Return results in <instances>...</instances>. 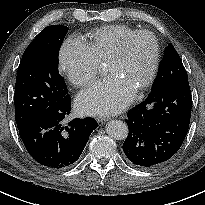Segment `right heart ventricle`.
<instances>
[{
  "label": "right heart ventricle",
  "mask_w": 205,
  "mask_h": 205,
  "mask_svg": "<svg viewBox=\"0 0 205 205\" xmlns=\"http://www.w3.org/2000/svg\"><path fill=\"white\" fill-rule=\"evenodd\" d=\"M135 31L126 25L104 26L89 35L87 45L100 63L108 62L124 38Z\"/></svg>",
  "instance_id": "e07e8e85"
}]
</instances>
